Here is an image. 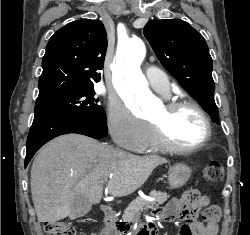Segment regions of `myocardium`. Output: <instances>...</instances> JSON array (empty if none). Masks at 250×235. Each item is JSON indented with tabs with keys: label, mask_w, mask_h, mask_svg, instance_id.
Masks as SVG:
<instances>
[{
	"label": "myocardium",
	"mask_w": 250,
	"mask_h": 235,
	"mask_svg": "<svg viewBox=\"0 0 250 235\" xmlns=\"http://www.w3.org/2000/svg\"><path fill=\"white\" fill-rule=\"evenodd\" d=\"M189 107L194 109L202 118L204 124V136L203 138L196 144L191 146H182L175 144L168 136L166 122L171 117V115L182 108ZM165 119L161 122H150L152 129L155 133L157 141L162 146L163 149L177 152V153H189L195 152L202 147H204L211 137V122L210 118L205 111V109L197 102L192 99H178L172 100L165 104Z\"/></svg>",
	"instance_id": "1"
}]
</instances>
